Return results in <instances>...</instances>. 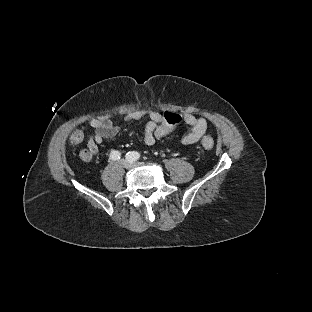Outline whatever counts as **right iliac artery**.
<instances>
[{"label": "right iliac artery", "instance_id": "1", "mask_svg": "<svg viewBox=\"0 0 312 312\" xmlns=\"http://www.w3.org/2000/svg\"><path fill=\"white\" fill-rule=\"evenodd\" d=\"M110 157H111V159H113V160L120 159V153H119L118 151L113 150V151L110 153ZM127 159H129V160H131V161H134L133 159L128 158V157H127Z\"/></svg>", "mask_w": 312, "mask_h": 312}]
</instances>
